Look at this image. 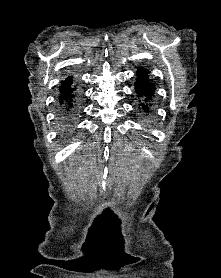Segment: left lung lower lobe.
<instances>
[{"mask_svg": "<svg viewBox=\"0 0 221 278\" xmlns=\"http://www.w3.org/2000/svg\"><path fill=\"white\" fill-rule=\"evenodd\" d=\"M135 91L140 99L138 106L141 109V112L149 114L153 107L155 84L150 79L149 71L143 67H140L137 70Z\"/></svg>", "mask_w": 221, "mask_h": 278, "instance_id": "0a47b994", "label": "left lung lower lobe"}]
</instances>
